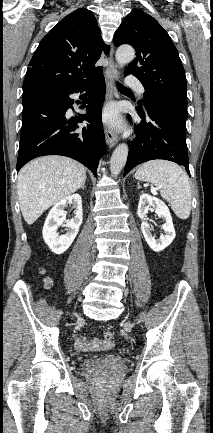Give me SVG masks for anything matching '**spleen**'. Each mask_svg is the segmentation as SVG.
<instances>
[{
  "label": "spleen",
  "mask_w": 213,
  "mask_h": 433,
  "mask_svg": "<svg viewBox=\"0 0 213 433\" xmlns=\"http://www.w3.org/2000/svg\"><path fill=\"white\" fill-rule=\"evenodd\" d=\"M135 178L151 182L160 188L161 196L167 200L177 217L187 219L191 211V188L185 171L177 164L154 160L142 164Z\"/></svg>",
  "instance_id": "1"
}]
</instances>
